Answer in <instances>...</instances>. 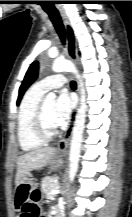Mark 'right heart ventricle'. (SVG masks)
<instances>
[{"label":"right heart ventricle","mask_w":132,"mask_h":217,"mask_svg":"<svg viewBox=\"0 0 132 217\" xmlns=\"http://www.w3.org/2000/svg\"><path fill=\"white\" fill-rule=\"evenodd\" d=\"M45 91L32 86L23 96L18 112V141L23 151H34L44 145L34 130V116Z\"/></svg>","instance_id":"right-heart-ventricle-1"}]
</instances>
